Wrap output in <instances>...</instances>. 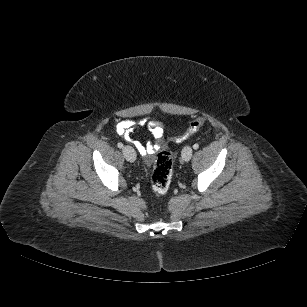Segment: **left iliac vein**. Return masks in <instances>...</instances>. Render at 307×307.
<instances>
[{
  "mask_svg": "<svg viewBox=\"0 0 307 307\" xmlns=\"http://www.w3.org/2000/svg\"><path fill=\"white\" fill-rule=\"evenodd\" d=\"M192 153H193L192 147L191 146H185L182 150V159L185 162H188L192 157Z\"/></svg>",
  "mask_w": 307,
  "mask_h": 307,
  "instance_id": "left-iliac-vein-1",
  "label": "left iliac vein"
}]
</instances>
